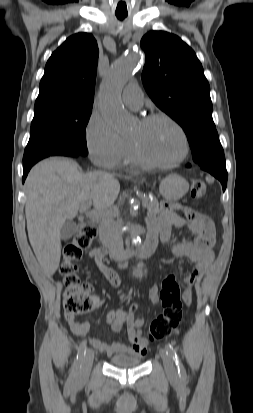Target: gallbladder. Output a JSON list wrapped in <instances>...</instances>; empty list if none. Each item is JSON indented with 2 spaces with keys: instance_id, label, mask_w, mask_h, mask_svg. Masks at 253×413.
Instances as JSON below:
<instances>
[{
  "instance_id": "gallbladder-1",
  "label": "gallbladder",
  "mask_w": 253,
  "mask_h": 413,
  "mask_svg": "<svg viewBox=\"0 0 253 413\" xmlns=\"http://www.w3.org/2000/svg\"><path fill=\"white\" fill-rule=\"evenodd\" d=\"M78 230V225L73 221H67L63 224L60 230V239L63 241L71 238Z\"/></svg>"
}]
</instances>
